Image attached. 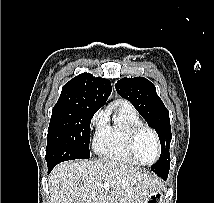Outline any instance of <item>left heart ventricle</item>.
<instances>
[{
  "label": "left heart ventricle",
  "mask_w": 214,
  "mask_h": 203,
  "mask_svg": "<svg viewBox=\"0 0 214 203\" xmlns=\"http://www.w3.org/2000/svg\"><path fill=\"white\" fill-rule=\"evenodd\" d=\"M137 153L141 160L150 163L155 160L157 150L153 136L149 132H143L137 141Z\"/></svg>",
  "instance_id": "1"
}]
</instances>
